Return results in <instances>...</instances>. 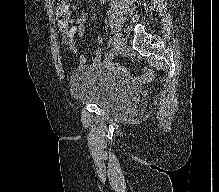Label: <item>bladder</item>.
<instances>
[{"label": "bladder", "mask_w": 219, "mask_h": 192, "mask_svg": "<svg viewBox=\"0 0 219 192\" xmlns=\"http://www.w3.org/2000/svg\"><path fill=\"white\" fill-rule=\"evenodd\" d=\"M73 98L97 106L115 118H128L139 109V92L132 80L102 65H84L70 77Z\"/></svg>", "instance_id": "obj_1"}]
</instances>
